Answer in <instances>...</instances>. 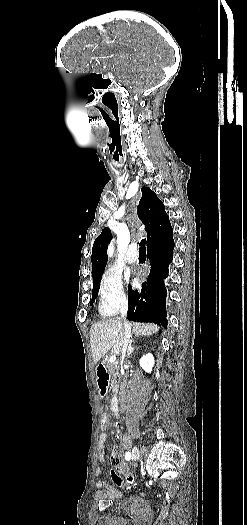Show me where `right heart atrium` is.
<instances>
[{
	"instance_id": "1",
	"label": "right heart atrium",
	"mask_w": 247,
	"mask_h": 525,
	"mask_svg": "<svg viewBox=\"0 0 247 525\" xmlns=\"http://www.w3.org/2000/svg\"><path fill=\"white\" fill-rule=\"evenodd\" d=\"M127 304V296L121 273L114 266H107L98 287V311L112 316L120 313Z\"/></svg>"
}]
</instances>
